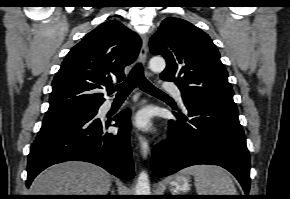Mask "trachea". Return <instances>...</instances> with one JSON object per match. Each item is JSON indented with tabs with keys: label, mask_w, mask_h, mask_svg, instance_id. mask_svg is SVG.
I'll return each instance as SVG.
<instances>
[{
	"label": "trachea",
	"mask_w": 290,
	"mask_h": 199,
	"mask_svg": "<svg viewBox=\"0 0 290 199\" xmlns=\"http://www.w3.org/2000/svg\"><path fill=\"white\" fill-rule=\"evenodd\" d=\"M137 86L150 95L156 97L167 96L146 79L141 63H137L131 70L127 79L116 86L117 95L126 96Z\"/></svg>",
	"instance_id": "1"
}]
</instances>
